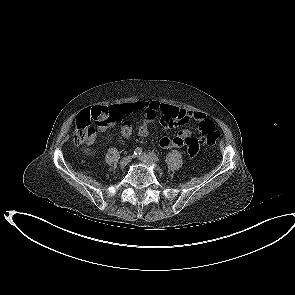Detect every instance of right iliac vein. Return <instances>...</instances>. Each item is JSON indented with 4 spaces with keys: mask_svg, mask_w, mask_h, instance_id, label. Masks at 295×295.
<instances>
[{
    "mask_svg": "<svg viewBox=\"0 0 295 295\" xmlns=\"http://www.w3.org/2000/svg\"><path fill=\"white\" fill-rule=\"evenodd\" d=\"M132 160V156H125L124 158H122L119 162V165L121 167H125L127 164H129Z\"/></svg>",
    "mask_w": 295,
    "mask_h": 295,
    "instance_id": "63e3f726",
    "label": "right iliac vein"
}]
</instances>
